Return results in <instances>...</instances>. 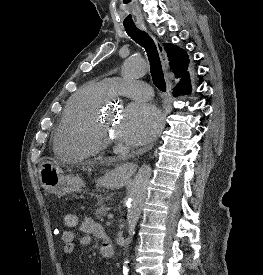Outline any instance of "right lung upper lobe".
<instances>
[{"label":"right lung upper lobe","mask_w":263,"mask_h":275,"mask_svg":"<svg viewBox=\"0 0 263 275\" xmlns=\"http://www.w3.org/2000/svg\"><path fill=\"white\" fill-rule=\"evenodd\" d=\"M164 48L169 58L170 68L176 75V78H178V84H182L189 74L186 72L189 63L188 55L183 49L172 44H164ZM187 89L190 90L191 85H189Z\"/></svg>","instance_id":"obj_1"}]
</instances>
